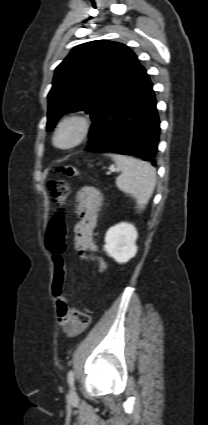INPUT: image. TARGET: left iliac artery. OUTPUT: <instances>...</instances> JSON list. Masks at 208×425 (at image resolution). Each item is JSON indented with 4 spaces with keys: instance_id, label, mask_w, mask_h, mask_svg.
<instances>
[{
    "instance_id": "left-iliac-artery-1",
    "label": "left iliac artery",
    "mask_w": 208,
    "mask_h": 425,
    "mask_svg": "<svg viewBox=\"0 0 208 425\" xmlns=\"http://www.w3.org/2000/svg\"><path fill=\"white\" fill-rule=\"evenodd\" d=\"M67 380H68V383H69L71 386H73V383H74V372H73L72 370H70V371L68 372V374H67Z\"/></svg>"
}]
</instances>
